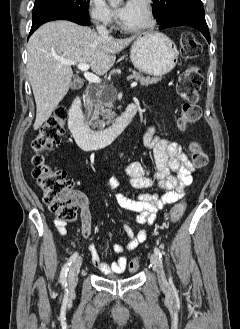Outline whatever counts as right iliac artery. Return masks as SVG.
Here are the masks:
<instances>
[{
  "mask_svg": "<svg viewBox=\"0 0 240 329\" xmlns=\"http://www.w3.org/2000/svg\"><path fill=\"white\" fill-rule=\"evenodd\" d=\"M77 257H78V253L75 252L62 267V270L60 273V283L65 288L67 287V273L69 271V266L72 264V262H74L77 259Z\"/></svg>",
  "mask_w": 240,
  "mask_h": 329,
  "instance_id": "82829eb1",
  "label": "right iliac artery"
}]
</instances>
